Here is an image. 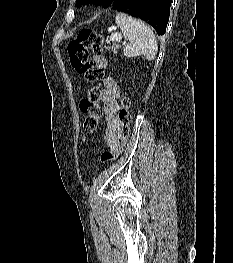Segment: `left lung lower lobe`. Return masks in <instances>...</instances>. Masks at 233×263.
I'll return each mask as SVG.
<instances>
[{"label":"left lung lower lobe","instance_id":"left-lung-lower-lobe-1","mask_svg":"<svg viewBox=\"0 0 233 263\" xmlns=\"http://www.w3.org/2000/svg\"><path fill=\"white\" fill-rule=\"evenodd\" d=\"M171 2L172 0H115L111 8L145 20L159 35H163L169 20Z\"/></svg>","mask_w":233,"mask_h":263}]
</instances>
